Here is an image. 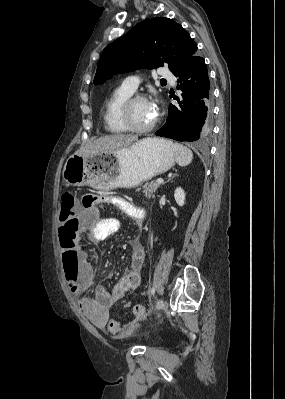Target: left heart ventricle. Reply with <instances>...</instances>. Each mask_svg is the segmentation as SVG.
<instances>
[{
  "instance_id": "b2bd125f",
  "label": "left heart ventricle",
  "mask_w": 285,
  "mask_h": 399,
  "mask_svg": "<svg viewBox=\"0 0 285 399\" xmlns=\"http://www.w3.org/2000/svg\"><path fill=\"white\" fill-rule=\"evenodd\" d=\"M131 114L133 124L136 127H145L151 124L156 117L147 100L136 101L132 106Z\"/></svg>"
}]
</instances>
